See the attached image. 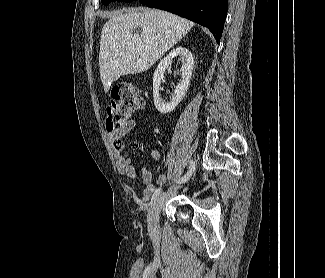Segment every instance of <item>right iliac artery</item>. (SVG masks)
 <instances>
[{
  "label": "right iliac artery",
  "mask_w": 325,
  "mask_h": 278,
  "mask_svg": "<svg viewBox=\"0 0 325 278\" xmlns=\"http://www.w3.org/2000/svg\"><path fill=\"white\" fill-rule=\"evenodd\" d=\"M195 170V162L193 160H190V166H189V171L187 172L186 175H184L182 178L178 179L176 182L177 183H183L186 182L192 175V173ZM162 192L161 188L156 189V191L154 192L153 196H152V200H154L157 196H159Z\"/></svg>",
  "instance_id": "obj_1"
}]
</instances>
